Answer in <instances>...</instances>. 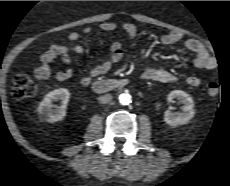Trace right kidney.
<instances>
[{
    "instance_id": "obj_1",
    "label": "right kidney",
    "mask_w": 230,
    "mask_h": 186,
    "mask_svg": "<svg viewBox=\"0 0 230 186\" xmlns=\"http://www.w3.org/2000/svg\"><path fill=\"white\" fill-rule=\"evenodd\" d=\"M70 93L65 88L53 90L44 96L39 104L37 112L42 121L54 123L62 120L66 116V106L69 102ZM61 100L62 105L58 109H53V101Z\"/></svg>"
}]
</instances>
